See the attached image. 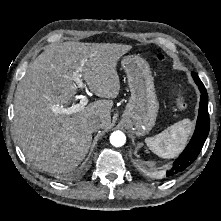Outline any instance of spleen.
<instances>
[{
    "label": "spleen",
    "instance_id": "1",
    "mask_svg": "<svg viewBox=\"0 0 221 221\" xmlns=\"http://www.w3.org/2000/svg\"><path fill=\"white\" fill-rule=\"evenodd\" d=\"M193 124L185 118L171 125L161 133L148 137L145 142L149 149L162 158H174L185 147L192 133Z\"/></svg>",
    "mask_w": 221,
    "mask_h": 221
}]
</instances>
